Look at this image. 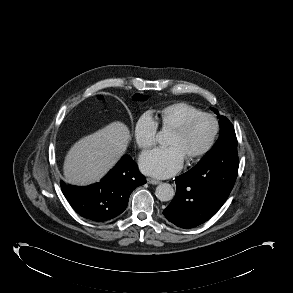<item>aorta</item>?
I'll use <instances>...</instances> for the list:
<instances>
[{
    "label": "aorta",
    "mask_w": 293,
    "mask_h": 293,
    "mask_svg": "<svg viewBox=\"0 0 293 293\" xmlns=\"http://www.w3.org/2000/svg\"><path fill=\"white\" fill-rule=\"evenodd\" d=\"M157 140L160 144H164L166 140V132L160 131L157 134ZM155 194L160 201H170L173 199L175 191L170 184L162 183L156 187Z\"/></svg>",
    "instance_id": "762f6f07"
}]
</instances>
